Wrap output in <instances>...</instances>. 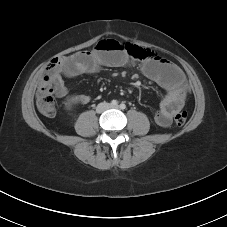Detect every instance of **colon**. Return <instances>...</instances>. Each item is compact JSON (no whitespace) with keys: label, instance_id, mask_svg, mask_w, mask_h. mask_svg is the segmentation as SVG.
Segmentation results:
<instances>
[{"label":"colon","instance_id":"1","mask_svg":"<svg viewBox=\"0 0 227 227\" xmlns=\"http://www.w3.org/2000/svg\"><path fill=\"white\" fill-rule=\"evenodd\" d=\"M123 45L127 52L135 59L147 60L154 57V53L148 49H143L131 44ZM61 59L62 58H54L50 61L47 67L49 74L41 81L36 95L37 108L41 114L47 117H52L56 113L55 91L50 82V74L60 64ZM187 118L188 114L186 111L178 112L174 118L175 124L181 127L186 123Z\"/></svg>","mask_w":227,"mask_h":227}]
</instances>
